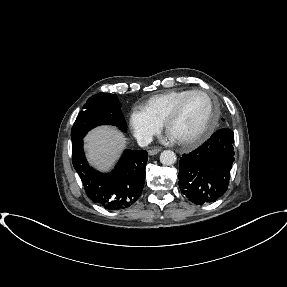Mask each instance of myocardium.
Returning <instances> with one entry per match:
<instances>
[{
	"label": "myocardium",
	"mask_w": 287,
	"mask_h": 287,
	"mask_svg": "<svg viewBox=\"0 0 287 287\" xmlns=\"http://www.w3.org/2000/svg\"><path fill=\"white\" fill-rule=\"evenodd\" d=\"M201 94L206 96L211 104V110H210V116L208 123L205 127V129L197 134L196 136H193L191 138L181 140V141H176L177 144L184 146V147H195L202 142H204L213 132L214 128L216 127L217 120H218V105L216 103V100L214 97L204 91V90H192L185 96H183L181 99L178 100V102L174 105V107L170 110V112L166 115L162 127L164 131L167 133L169 125L178 117L180 114V111L184 105V103L193 95Z\"/></svg>",
	"instance_id": "f54148a6"
}]
</instances>
